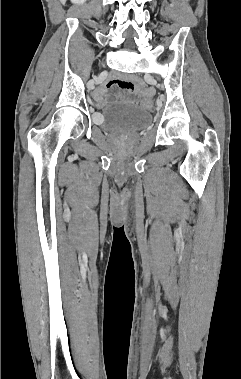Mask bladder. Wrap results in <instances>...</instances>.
<instances>
[{
    "instance_id": "1",
    "label": "bladder",
    "mask_w": 241,
    "mask_h": 379,
    "mask_svg": "<svg viewBox=\"0 0 241 379\" xmlns=\"http://www.w3.org/2000/svg\"><path fill=\"white\" fill-rule=\"evenodd\" d=\"M151 123L148 110L131 103H115L101 115L102 129L119 134H130L141 131Z\"/></svg>"
}]
</instances>
